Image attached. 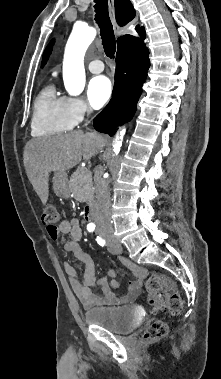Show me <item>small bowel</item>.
I'll list each match as a JSON object with an SVG mask.
<instances>
[{
    "label": "small bowel",
    "instance_id": "c3829d8e",
    "mask_svg": "<svg viewBox=\"0 0 221 379\" xmlns=\"http://www.w3.org/2000/svg\"><path fill=\"white\" fill-rule=\"evenodd\" d=\"M47 231L53 240L58 239L60 235L64 234L71 236V240L65 243L64 249L82 262L85 265V269L80 277L76 268L69 261L64 260L63 266L74 292L85 309L96 306L124 305L133 302L139 296L143 281L147 277L146 269L127 259H121L122 264L131 271L135 279L129 282L128 292L125 295H116L112 292L111 287H118V283L115 280L109 283L106 276L98 273L92 257L81 248L79 241L82 237V230L77 218L63 220L54 232ZM106 274L110 277L115 276L114 271L111 269H108ZM95 287H100L103 296L95 293Z\"/></svg>",
    "mask_w": 221,
    "mask_h": 379
}]
</instances>
